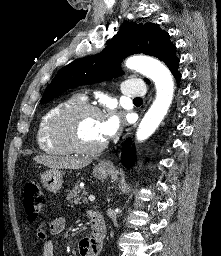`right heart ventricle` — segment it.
<instances>
[{
    "label": "right heart ventricle",
    "mask_w": 221,
    "mask_h": 256,
    "mask_svg": "<svg viewBox=\"0 0 221 256\" xmlns=\"http://www.w3.org/2000/svg\"><path fill=\"white\" fill-rule=\"evenodd\" d=\"M84 102L80 95H72L52 105L41 117L37 132L36 141L39 148L48 154H66L69 150L52 136V127L56 116L64 109L77 103Z\"/></svg>",
    "instance_id": "1"
}]
</instances>
